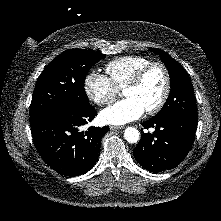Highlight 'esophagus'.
I'll return each instance as SVG.
<instances>
[{
  "label": "esophagus",
  "mask_w": 221,
  "mask_h": 221,
  "mask_svg": "<svg viewBox=\"0 0 221 221\" xmlns=\"http://www.w3.org/2000/svg\"><path fill=\"white\" fill-rule=\"evenodd\" d=\"M124 128V126H115V125H111L110 126V129L111 130H121V129H123Z\"/></svg>",
  "instance_id": "1"
}]
</instances>
